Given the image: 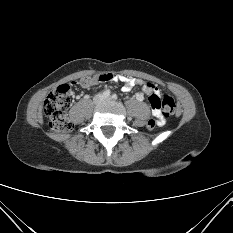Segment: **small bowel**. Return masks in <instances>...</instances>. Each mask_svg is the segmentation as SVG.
Returning a JSON list of instances; mask_svg holds the SVG:
<instances>
[{"instance_id": "small-bowel-1", "label": "small bowel", "mask_w": 233, "mask_h": 233, "mask_svg": "<svg viewBox=\"0 0 233 233\" xmlns=\"http://www.w3.org/2000/svg\"><path fill=\"white\" fill-rule=\"evenodd\" d=\"M96 80L97 81H101V82H121L123 84L122 90L124 92H128L132 89V87H134L135 85H139L142 87V90L145 94H147L149 96V99L152 96H160V91L159 89L154 86L153 84L144 81V80H140V79H135V78H129V77H125V76H118L115 75L113 73H105V74H97L96 75ZM68 86L69 87H79L80 85H83V80H78L76 78L71 79L68 81ZM136 99L138 101H142L144 99L143 94L139 93L136 95ZM152 107V114L155 117L156 121H157V126H163L166 123V120L161 112V110L157 107Z\"/></svg>"}]
</instances>
